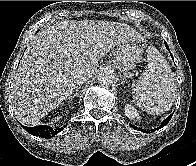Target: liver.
<instances>
[{
  "label": "liver",
  "instance_id": "1",
  "mask_svg": "<svg viewBox=\"0 0 196 166\" xmlns=\"http://www.w3.org/2000/svg\"><path fill=\"white\" fill-rule=\"evenodd\" d=\"M141 35L125 23L55 22L33 37L14 77L12 105L17 119L33 125L59 107L75 90L77 72L93 75L98 61Z\"/></svg>",
  "mask_w": 196,
  "mask_h": 166
}]
</instances>
